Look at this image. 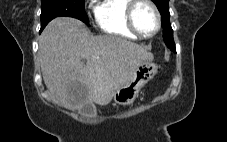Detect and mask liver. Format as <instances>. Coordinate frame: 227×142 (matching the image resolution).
I'll use <instances>...</instances> for the list:
<instances>
[{
    "mask_svg": "<svg viewBox=\"0 0 227 142\" xmlns=\"http://www.w3.org/2000/svg\"><path fill=\"white\" fill-rule=\"evenodd\" d=\"M38 56L50 95L71 110L90 102L108 105L134 71L154 58L127 39L93 36L83 22L70 17L55 18L45 27Z\"/></svg>",
    "mask_w": 227,
    "mask_h": 142,
    "instance_id": "liver-1",
    "label": "liver"
}]
</instances>
